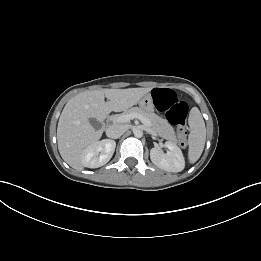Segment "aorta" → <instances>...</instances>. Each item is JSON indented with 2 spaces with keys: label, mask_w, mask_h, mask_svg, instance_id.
<instances>
[{
  "label": "aorta",
  "mask_w": 261,
  "mask_h": 261,
  "mask_svg": "<svg viewBox=\"0 0 261 261\" xmlns=\"http://www.w3.org/2000/svg\"><path fill=\"white\" fill-rule=\"evenodd\" d=\"M134 136L137 138H141L143 136V132L140 129H135L134 130Z\"/></svg>",
  "instance_id": "1"
}]
</instances>
